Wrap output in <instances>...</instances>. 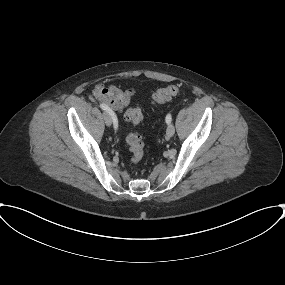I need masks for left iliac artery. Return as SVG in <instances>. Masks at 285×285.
<instances>
[{
    "mask_svg": "<svg viewBox=\"0 0 285 285\" xmlns=\"http://www.w3.org/2000/svg\"><path fill=\"white\" fill-rule=\"evenodd\" d=\"M165 120H166V123H167V124L171 123V121H172V116H171V114H170V113H169V114H167V116H166Z\"/></svg>",
    "mask_w": 285,
    "mask_h": 285,
    "instance_id": "1",
    "label": "left iliac artery"
}]
</instances>
